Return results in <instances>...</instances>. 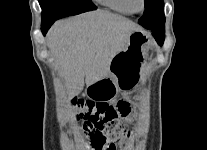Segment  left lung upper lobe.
Listing matches in <instances>:
<instances>
[{"label":"left lung upper lobe","mask_w":207,"mask_h":150,"mask_svg":"<svg viewBox=\"0 0 207 150\" xmlns=\"http://www.w3.org/2000/svg\"><path fill=\"white\" fill-rule=\"evenodd\" d=\"M139 24L150 31L165 29L163 0H145L144 15L138 20Z\"/></svg>","instance_id":"1"}]
</instances>
